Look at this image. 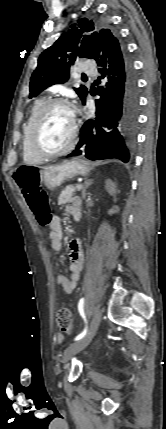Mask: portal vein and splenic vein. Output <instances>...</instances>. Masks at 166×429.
Wrapping results in <instances>:
<instances>
[{
    "label": "portal vein and splenic vein",
    "instance_id": "18ae733b",
    "mask_svg": "<svg viewBox=\"0 0 166 429\" xmlns=\"http://www.w3.org/2000/svg\"><path fill=\"white\" fill-rule=\"evenodd\" d=\"M82 188V184H78L77 186H76V189L77 190H80Z\"/></svg>",
    "mask_w": 166,
    "mask_h": 429
}]
</instances>
